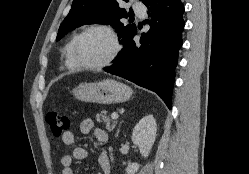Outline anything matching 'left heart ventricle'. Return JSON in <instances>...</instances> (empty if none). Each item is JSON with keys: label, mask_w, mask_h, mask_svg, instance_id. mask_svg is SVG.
<instances>
[{"label": "left heart ventricle", "mask_w": 249, "mask_h": 174, "mask_svg": "<svg viewBox=\"0 0 249 174\" xmlns=\"http://www.w3.org/2000/svg\"><path fill=\"white\" fill-rule=\"evenodd\" d=\"M112 51L110 37L103 31L86 34L78 46L79 58L87 64H96L105 60Z\"/></svg>", "instance_id": "left-heart-ventricle-1"}]
</instances>
